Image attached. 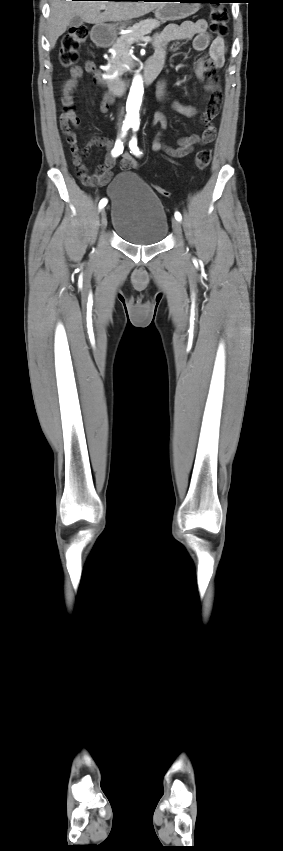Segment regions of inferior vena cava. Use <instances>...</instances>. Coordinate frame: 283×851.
<instances>
[{
    "label": "inferior vena cava",
    "mask_w": 283,
    "mask_h": 851,
    "mask_svg": "<svg viewBox=\"0 0 283 851\" xmlns=\"http://www.w3.org/2000/svg\"><path fill=\"white\" fill-rule=\"evenodd\" d=\"M121 120H122V112H121V113H120V115H119V122H120V123H119V126H120V124H121Z\"/></svg>",
    "instance_id": "1"
}]
</instances>
